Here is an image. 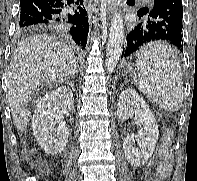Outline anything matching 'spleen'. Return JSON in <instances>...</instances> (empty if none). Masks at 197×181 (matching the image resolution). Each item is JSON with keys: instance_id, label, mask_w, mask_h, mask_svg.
I'll return each mask as SVG.
<instances>
[{"instance_id": "1", "label": "spleen", "mask_w": 197, "mask_h": 181, "mask_svg": "<svg viewBox=\"0 0 197 181\" xmlns=\"http://www.w3.org/2000/svg\"><path fill=\"white\" fill-rule=\"evenodd\" d=\"M136 58L141 74L134 79L139 91L162 109L178 111L184 98L183 79L171 46L162 41L150 42L136 53Z\"/></svg>"}]
</instances>
